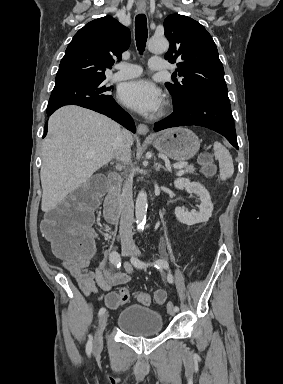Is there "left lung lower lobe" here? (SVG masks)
<instances>
[{"instance_id": "obj_1", "label": "left lung lower lobe", "mask_w": 283, "mask_h": 384, "mask_svg": "<svg viewBox=\"0 0 283 384\" xmlns=\"http://www.w3.org/2000/svg\"><path fill=\"white\" fill-rule=\"evenodd\" d=\"M198 125L212 129L238 149L236 132L230 102L227 95L197 97L186 105L174 104V112L155 123L154 130L166 128Z\"/></svg>"}]
</instances>
